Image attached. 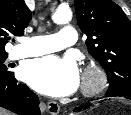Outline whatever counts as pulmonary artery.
<instances>
[{
  "label": "pulmonary artery",
  "instance_id": "obj_1",
  "mask_svg": "<svg viewBox=\"0 0 131 115\" xmlns=\"http://www.w3.org/2000/svg\"><path fill=\"white\" fill-rule=\"evenodd\" d=\"M76 41V30L72 26H65L55 34L24 38L12 56L14 59L39 56L73 45Z\"/></svg>",
  "mask_w": 131,
  "mask_h": 115
}]
</instances>
